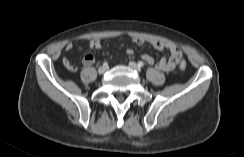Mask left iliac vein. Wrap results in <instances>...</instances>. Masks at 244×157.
Wrapping results in <instances>:
<instances>
[{"mask_svg":"<svg viewBox=\"0 0 244 157\" xmlns=\"http://www.w3.org/2000/svg\"><path fill=\"white\" fill-rule=\"evenodd\" d=\"M129 67L132 68V69H134L138 73L141 71V69L138 67V65L135 62H133V61H130L129 62Z\"/></svg>","mask_w":244,"mask_h":157,"instance_id":"left-iliac-vein-1","label":"left iliac vein"}]
</instances>
